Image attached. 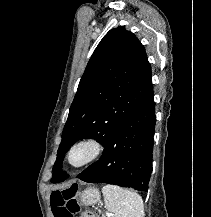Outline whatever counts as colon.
I'll list each match as a JSON object with an SVG mask.
<instances>
[{"label": "colon", "mask_w": 211, "mask_h": 217, "mask_svg": "<svg viewBox=\"0 0 211 217\" xmlns=\"http://www.w3.org/2000/svg\"><path fill=\"white\" fill-rule=\"evenodd\" d=\"M77 185H72L62 191L52 192L50 202L54 217H74L80 211V206L75 198ZM81 217H96L91 211H85Z\"/></svg>", "instance_id": "5ec220e1"}]
</instances>
